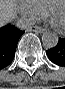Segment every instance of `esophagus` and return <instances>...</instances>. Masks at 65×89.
<instances>
[{"instance_id": "esophagus-1", "label": "esophagus", "mask_w": 65, "mask_h": 89, "mask_svg": "<svg viewBox=\"0 0 65 89\" xmlns=\"http://www.w3.org/2000/svg\"><path fill=\"white\" fill-rule=\"evenodd\" d=\"M28 31L42 33L44 31V29L41 27H38V26H33V27L28 28Z\"/></svg>"}]
</instances>
